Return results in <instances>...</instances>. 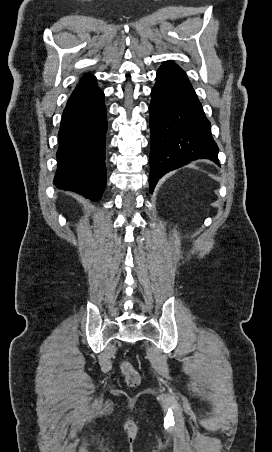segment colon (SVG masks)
Masks as SVG:
<instances>
[{
  "label": "colon",
  "mask_w": 272,
  "mask_h": 452,
  "mask_svg": "<svg viewBox=\"0 0 272 452\" xmlns=\"http://www.w3.org/2000/svg\"><path fill=\"white\" fill-rule=\"evenodd\" d=\"M120 370L122 374L125 376L127 383L134 387L140 381V376L137 370L132 366V364L128 361H123L120 364Z\"/></svg>",
  "instance_id": "5ec220e1"
}]
</instances>
